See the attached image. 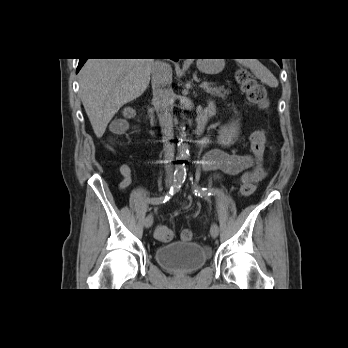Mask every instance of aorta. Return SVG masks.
I'll return each instance as SVG.
<instances>
[{
	"instance_id": "762f6f07",
	"label": "aorta",
	"mask_w": 348,
	"mask_h": 348,
	"mask_svg": "<svg viewBox=\"0 0 348 348\" xmlns=\"http://www.w3.org/2000/svg\"><path fill=\"white\" fill-rule=\"evenodd\" d=\"M186 132L184 129L180 133L179 143H178V152L182 157H187L189 155L188 145L185 142Z\"/></svg>"
}]
</instances>
